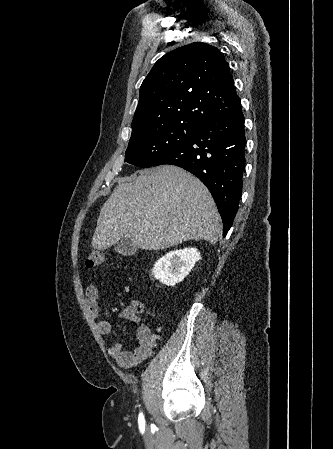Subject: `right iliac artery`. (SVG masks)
<instances>
[{"label": "right iliac artery", "instance_id": "obj_1", "mask_svg": "<svg viewBox=\"0 0 333 449\" xmlns=\"http://www.w3.org/2000/svg\"><path fill=\"white\" fill-rule=\"evenodd\" d=\"M138 421L140 426L144 425V416L142 413L139 414Z\"/></svg>", "mask_w": 333, "mask_h": 449}]
</instances>
